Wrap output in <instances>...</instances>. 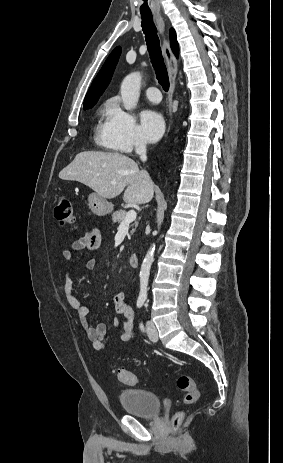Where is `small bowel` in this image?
<instances>
[{"label":"small bowel","mask_w":283,"mask_h":463,"mask_svg":"<svg viewBox=\"0 0 283 463\" xmlns=\"http://www.w3.org/2000/svg\"><path fill=\"white\" fill-rule=\"evenodd\" d=\"M101 233L96 227L89 229L82 237L73 241L69 248L63 251V258L70 261L74 253L87 250L96 251L101 245ZM96 266V259L90 258L86 261V267L93 269ZM64 296L69 306L75 311L79 323L81 324L87 339L90 341L95 350L105 349V336L107 332L106 325L99 322L91 325L88 322V308L81 304L76 294L74 293V276L70 269L64 271ZM113 305L116 314L120 316L123 321H115L117 326L121 327L120 341L122 343L132 342L135 338L134 331V311L131 305L127 302L124 293L119 292L113 297Z\"/></svg>","instance_id":"small-bowel-1"}]
</instances>
